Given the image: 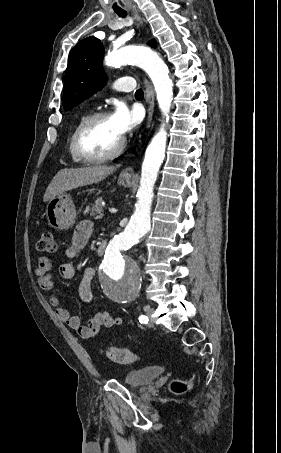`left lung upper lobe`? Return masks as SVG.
<instances>
[{
  "instance_id": "5c2ea615",
  "label": "left lung upper lobe",
  "mask_w": 281,
  "mask_h": 453,
  "mask_svg": "<svg viewBox=\"0 0 281 453\" xmlns=\"http://www.w3.org/2000/svg\"><path fill=\"white\" fill-rule=\"evenodd\" d=\"M155 47V41L148 43ZM104 49L95 37L81 40L71 50L65 73L63 107L71 110L96 93L106 83L102 69Z\"/></svg>"
}]
</instances>
